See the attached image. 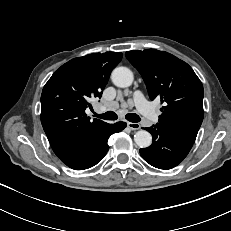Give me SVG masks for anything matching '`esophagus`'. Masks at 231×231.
I'll use <instances>...</instances> for the list:
<instances>
[{
    "label": "esophagus",
    "instance_id": "34e87169",
    "mask_svg": "<svg viewBox=\"0 0 231 231\" xmlns=\"http://www.w3.org/2000/svg\"><path fill=\"white\" fill-rule=\"evenodd\" d=\"M127 127L131 130H138L140 129V124L139 123H133V122H128Z\"/></svg>",
    "mask_w": 231,
    "mask_h": 231
}]
</instances>
